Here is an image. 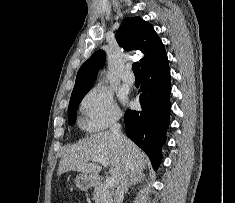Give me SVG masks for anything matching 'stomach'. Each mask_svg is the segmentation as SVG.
Masks as SVG:
<instances>
[{"mask_svg": "<svg viewBox=\"0 0 235 203\" xmlns=\"http://www.w3.org/2000/svg\"><path fill=\"white\" fill-rule=\"evenodd\" d=\"M97 183V179L94 176L80 173L75 178V185L80 190H87L91 187H94Z\"/></svg>", "mask_w": 235, "mask_h": 203, "instance_id": "obj_1", "label": "stomach"}]
</instances>
